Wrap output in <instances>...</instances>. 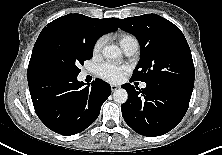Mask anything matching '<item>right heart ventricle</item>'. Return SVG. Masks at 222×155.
<instances>
[{
    "instance_id": "obj_1",
    "label": "right heart ventricle",
    "mask_w": 222,
    "mask_h": 155,
    "mask_svg": "<svg viewBox=\"0 0 222 155\" xmlns=\"http://www.w3.org/2000/svg\"><path fill=\"white\" fill-rule=\"evenodd\" d=\"M118 41H119L122 48H124L125 46H127L130 43H133V42L137 43L136 38L129 33H120L118 35Z\"/></svg>"
}]
</instances>
